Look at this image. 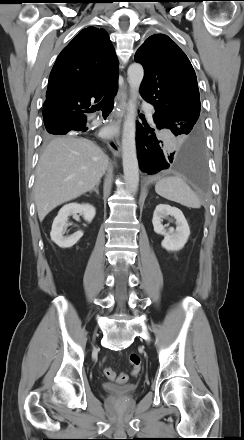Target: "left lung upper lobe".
<instances>
[{
	"label": "left lung upper lobe",
	"mask_w": 244,
	"mask_h": 440,
	"mask_svg": "<svg viewBox=\"0 0 244 440\" xmlns=\"http://www.w3.org/2000/svg\"><path fill=\"white\" fill-rule=\"evenodd\" d=\"M144 67L140 94L175 136L191 138L203 130L195 71L185 53L165 34L145 40L135 54Z\"/></svg>",
	"instance_id": "obj_1"
}]
</instances>
